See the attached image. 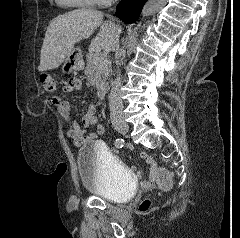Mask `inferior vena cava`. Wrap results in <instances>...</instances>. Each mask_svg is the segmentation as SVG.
Here are the masks:
<instances>
[{
  "mask_svg": "<svg viewBox=\"0 0 240 238\" xmlns=\"http://www.w3.org/2000/svg\"><path fill=\"white\" fill-rule=\"evenodd\" d=\"M120 86H121V77L119 74L116 80L114 81L112 85V89L109 94L110 116L112 121L123 118V103L119 94Z\"/></svg>",
  "mask_w": 240,
  "mask_h": 238,
  "instance_id": "602c4592",
  "label": "inferior vena cava"
}]
</instances>
